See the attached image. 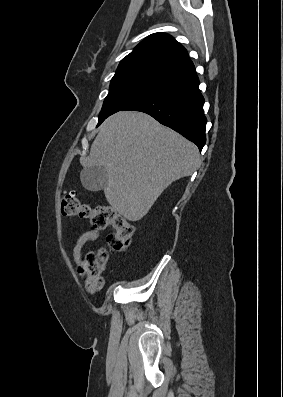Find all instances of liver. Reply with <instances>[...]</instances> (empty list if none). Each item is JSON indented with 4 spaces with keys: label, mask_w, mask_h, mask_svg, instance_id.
Masks as SVG:
<instances>
[{
    "label": "liver",
    "mask_w": 283,
    "mask_h": 397,
    "mask_svg": "<svg viewBox=\"0 0 283 397\" xmlns=\"http://www.w3.org/2000/svg\"><path fill=\"white\" fill-rule=\"evenodd\" d=\"M80 162L106 169L108 203L129 221H138L172 182L199 167L200 155L195 144L151 116L120 111L102 123Z\"/></svg>",
    "instance_id": "6515ba94"
}]
</instances>
